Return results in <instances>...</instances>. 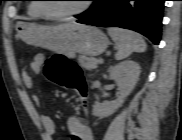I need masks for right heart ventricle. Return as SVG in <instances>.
Here are the masks:
<instances>
[{"label": "right heart ventricle", "instance_id": "1", "mask_svg": "<svg viewBox=\"0 0 182 140\" xmlns=\"http://www.w3.org/2000/svg\"><path fill=\"white\" fill-rule=\"evenodd\" d=\"M37 7H38V5L36 3H31L28 6V13H29L30 16H32V17H40V16H42L40 14V12L38 11Z\"/></svg>", "mask_w": 182, "mask_h": 140}]
</instances>
